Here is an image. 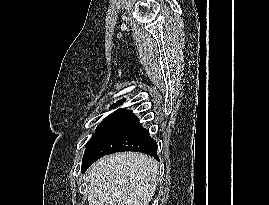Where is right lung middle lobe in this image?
Returning a JSON list of instances; mask_svg holds the SVG:
<instances>
[{"label":"right lung middle lobe","mask_w":269,"mask_h":205,"mask_svg":"<svg viewBox=\"0 0 269 205\" xmlns=\"http://www.w3.org/2000/svg\"><path fill=\"white\" fill-rule=\"evenodd\" d=\"M114 108V107H112ZM122 112H124V109H119L115 112H113L112 114H110L108 117H106L97 127L96 132L94 133V135L92 136V138L89 140V142L87 143V146L89 145V143L97 136V134L104 128L106 127L115 117H117L118 115H120Z\"/></svg>","instance_id":"dd1d6c3e"}]
</instances>
